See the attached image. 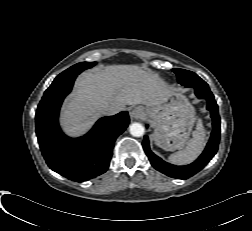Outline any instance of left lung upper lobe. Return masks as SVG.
<instances>
[{
	"label": "left lung upper lobe",
	"mask_w": 252,
	"mask_h": 231,
	"mask_svg": "<svg viewBox=\"0 0 252 231\" xmlns=\"http://www.w3.org/2000/svg\"><path fill=\"white\" fill-rule=\"evenodd\" d=\"M172 71L176 74L178 82L183 86L190 83L203 82V80L198 75L191 71L184 69H172Z\"/></svg>",
	"instance_id": "left-lung-upper-lobe-1"
}]
</instances>
